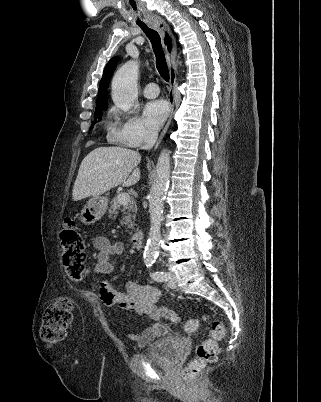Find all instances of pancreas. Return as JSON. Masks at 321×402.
Wrapping results in <instances>:
<instances>
[{
  "mask_svg": "<svg viewBox=\"0 0 321 402\" xmlns=\"http://www.w3.org/2000/svg\"><path fill=\"white\" fill-rule=\"evenodd\" d=\"M120 195V194H119ZM119 195L115 196L112 201H111V207L109 208V216L111 218H115L116 215L118 214V209H120V202H119ZM124 214L123 221L124 224L128 226L129 229L134 228V218L135 214L137 212V205L134 200H130L128 204L123 205V208L121 210Z\"/></svg>",
  "mask_w": 321,
  "mask_h": 402,
  "instance_id": "cf45deb5",
  "label": "pancreas"
}]
</instances>
